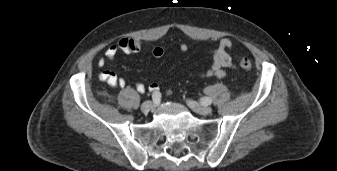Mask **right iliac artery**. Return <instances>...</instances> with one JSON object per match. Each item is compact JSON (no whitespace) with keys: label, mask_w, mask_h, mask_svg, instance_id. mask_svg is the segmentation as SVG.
<instances>
[{"label":"right iliac artery","mask_w":337,"mask_h":171,"mask_svg":"<svg viewBox=\"0 0 337 171\" xmlns=\"http://www.w3.org/2000/svg\"><path fill=\"white\" fill-rule=\"evenodd\" d=\"M160 98H161V94H160V92H154L153 94H152V99H153V101H159L160 100Z\"/></svg>","instance_id":"obj_1"}]
</instances>
